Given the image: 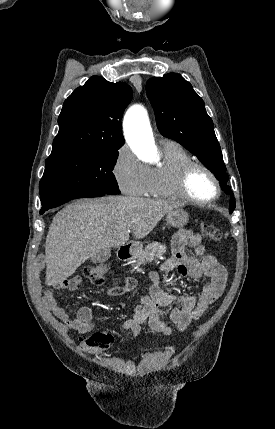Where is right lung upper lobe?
Masks as SVG:
<instances>
[{"label":"right lung upper lobe","instance_id":"cb5924a9","mask_svg":"<svg viewBox=\"0 0 275 429\" xmlns=\"http://www.w3.org/2000/svg\"><path fill=\"white\" fill-rule=\"evenodd\" d=\"M131 98L132 89L126 83L92 76L65 100L52 152L120 148L124 144L121 120Z\"/></svg>","mask_w":275,"mask_h":429}]
</instances>
